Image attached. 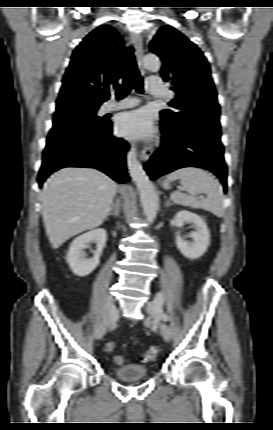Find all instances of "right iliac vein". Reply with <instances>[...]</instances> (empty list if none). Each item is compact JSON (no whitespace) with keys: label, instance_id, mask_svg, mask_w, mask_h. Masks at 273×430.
<instances>
[{"label":"right iliac vein","instance_id":"1","mask_svg":"<svg viewBox=\"0 0 273 430\" xmlns=\"http://www.w3.org/2000/svg\"><path fill=\"white\" fill-rule=\"evenodd\" d=\"M116 316H117V308L114 304L113 297L109 295L108 306L103 314L102 321L94 334L96 339H100L104 335L106 329L113 323Z\"/></svg>","mask_w":273,"mask_h":430}]
</instances>
